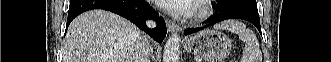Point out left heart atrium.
Returning <instances> with one entry per match:
<instances>
[{"label":"left heart atrium","mask_w":331,"mask_h":62,"mask_svg":"<svg viewBox=\"0 0 331 62\" xmlns=\"http://www.w3.org/2000/svg\"><path fill=\"white\" fill-rule=\"evenodd\" d=\"M194 0H157V4L171 13L191 14Z\"/></svg>","instance_id":"1"}]
</instances>
